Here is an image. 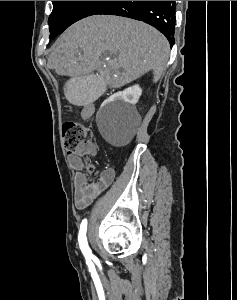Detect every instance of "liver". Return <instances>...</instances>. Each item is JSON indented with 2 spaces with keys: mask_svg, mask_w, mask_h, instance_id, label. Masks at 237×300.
I'll use <instances>...</instances> for the list:
<instances>
[{
  "mask_svg": "<svg viewBox=\"0 0 237 300\" xmlns=\"http://www.w3.org/2000/svg\"><path fill=\"white\" fill-rule=\"evenodd\" d=\"M56 45L48 57V69L68 76L88 75L97 69L112 89L148 71H153V83H157L170 51L166 37L154 27L114 15H93L78 21Z\"/></svg>",
  "mask_w": 237,
  "mask_h": 300,
  "instance_id": "6515ba94",
  "label": "liver"
}]
</instances>
